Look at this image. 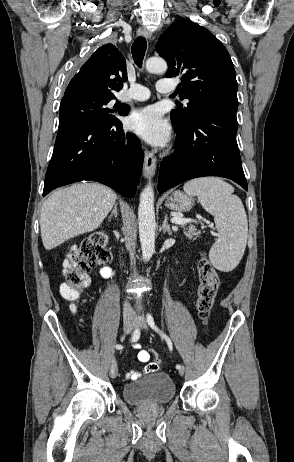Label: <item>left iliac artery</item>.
<instances>
[{
	"label": "left iliac artery",
	"instance_id": "obj_1",
	"mask_svg": "<svg viewBox=\"0 0 294 462\" xmlns=\"http://www.w3.org/2000/svg\"><path fill=\"white\" fill-rule=\"evenodd\" d=\"M147 322L149 326L160 334L161 337L165 338L168 344V352H173V345L169 337H167L159 328L155 325L152 315L147 314ZM171 354V353H170ZM182 366L180 364L176 365V369H180Z\"/></svg>",
	"mask_w": 294,
	"mask_h": 462
}]
</instances>
